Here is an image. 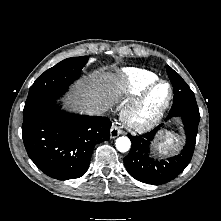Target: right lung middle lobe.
Listing matches in <instances>:
<instances>
[{
	"label": "right lung middle lobe",
	"instance_id": "right-lung-middle-lobe-1",
	"mask_svg": "<svg viewBox=\"0 0 221 221\" xmlns=\"http://www.w3.org/2000/svg\"><path fill=\"white\" fill-rule=\"evenodd\" d=\"M88 56L67 58L45 71L31 86L23 110V120L62 96L79 78Z\"/></svg>",
	"mask_w": 221,
	"mask_h": 221
}]
</instances>
